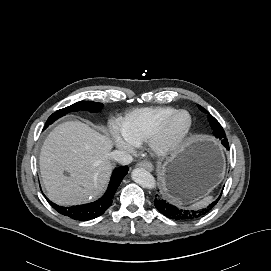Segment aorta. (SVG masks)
Returning <instances> with one entry per match:
<instances>
[{"label":"aorta","instance_id":"obj_1","mask_svg":"<svg viewBox=\"0 0 271 271\" xmlns=\"http://www.w3.org/2000/svg\"><path fill=\"white\" fill-rule=\"evenodd\" d=\"M132 180L140 186L153 189L156 185L153 175L144 168H135L131 172Z\"/></svg>","mask_w":271,"mask_h":271}]
</instances>
